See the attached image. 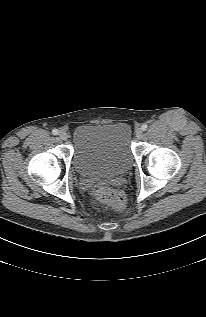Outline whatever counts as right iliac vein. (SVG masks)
Here are the masks:
<instances>
[{
  "label": "right iliac vein",
  "mask_w": 206,
  "mask_h": 317,
  "mask_svg": "<svg viewBox=\"0 0 206 317\" xmlns=\"http://www.w3.org/2000/svg\"><path fill=\"white\" fill-rule=\"evenodd\" d=\"M59 138L61 140H67L68 139V135H67V133L65 131H60L59 132Z\"/></svg>",
  "instance_id": "obj_1"
}]
</instances>
